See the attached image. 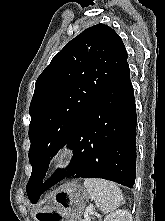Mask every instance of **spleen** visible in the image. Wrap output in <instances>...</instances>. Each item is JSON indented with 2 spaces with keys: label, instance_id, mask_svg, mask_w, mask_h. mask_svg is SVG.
<instances>
[{
  "label": "spleen",
  "instance_id": "1",
  "mask_svg": "<svg viewBox=\"0 0 165 221\" xmlns=\"http://www.w3.org/2000/svg\"><path fill=\"white\" fill-rule=\"evenodd\" d=\"M88 196L99 204L103 213L107 214L118 208L123 202V194L120 188L113 182L89 178L83 183Z\"/></svg>",
  "mask_w": 165,
  "mask_h": 221
}]
</instances>
